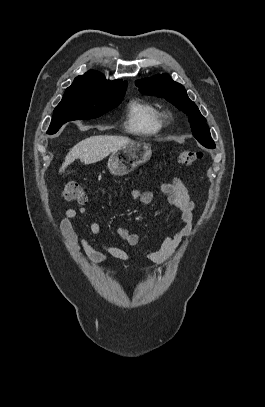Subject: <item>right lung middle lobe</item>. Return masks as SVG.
Returning a JSON list of instances; mask_svg holds the SVG:
<instances>
[{
    "label": "right lung middle lobe",
    "instance_id": "right-lung-middle-lobe-1",
    "mask_svg": "<svg viewBox=\"0 0 265 407\" xmlns=\"http://www.w3.org/2000/svg\"><path fill=\"white\" fill-rule=\"evenodd\" d=\"M127 85H102L93 82H73L55 108L47 131L54 134L66 122L97 118L121 103Z\"/></svg>",
    "mask_w": 265,
    "mask_h": 407
}]
</instances>
